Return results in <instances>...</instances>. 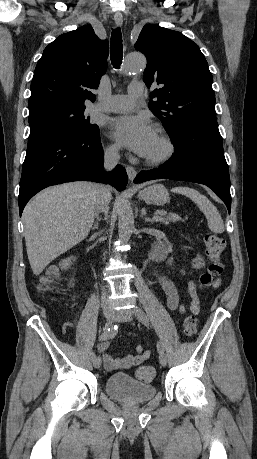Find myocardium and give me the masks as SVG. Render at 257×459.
Segmentation results:
<instances>
[{"label":"myocardium","instance_id":"1","mask_svg":"<svg viewBox=\"0 0 257 459\" xmlns=\"http://www.w3.org/2000/svg\"><path fill=\"white\" fill-rule=\"evenodd\" d=\"M156 133L162 140L165 150L162 154L154 157L150 156H144V160L148 165L151 166H161L166 164L168 161H170L175 152H176V146L172 140V138L166 133L164 129L161 127L156 128Z\"/></svg>","mask_w":257,"mask_h":459}]
</instances>
